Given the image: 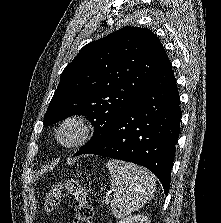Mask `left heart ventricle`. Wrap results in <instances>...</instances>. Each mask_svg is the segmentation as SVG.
I'll return each mask as SVG.
<instances>
[{
    "instance_id": "b2bd125f",
    "label": "left heart ventricle",
    "mask_w": 221,
    "mask_h": 223,
    "mask_svg": "<svg viewBox=\"0 0 221 223\" xmlns=\"http://www.w3.org/2000/svg\"><path fill=\"white\" fill-rule=\"evenodd\" d=\"M76 136V130L72 127L66 128L60 135L63 141H69Z\"/></svg>"
}]
</instances>
